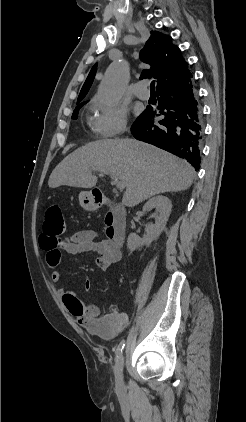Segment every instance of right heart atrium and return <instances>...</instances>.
<instances>
[{"instance_id": "d8ad5b80", "label": "right heart atrium", "mask_w": 246, "mask_h": 422, "mask_svg": "<svg viewBox=\"0 0 246 422\" xmlns=\"http://www.w3.org/2000/svg\"><path fill=\"white\" fill-rule=\"evenodd\" d=\"M90 125L92 131L100 138L108 139L122 134L127 125L126 111L118 106H110L100 100L92 103Z\"/></svg>"}]
</instances>
